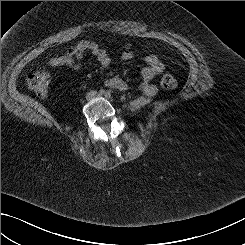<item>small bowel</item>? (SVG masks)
<instances>
[{
	"label": "small bowel",
	"instance_id": "c3829d8e",
	"mask_svg": "<svg viewBox=\"0 0 245 245\" xmlns=\"http://www.w3.org/2000/svg\"><path fill=\"white\" fill-rule=\"evenodd\" d=\"M88 52L91 58L103 67L110 66L112 59L108 51L90 40H82L78 44L67 50L66 52L54 55L49 60V65L57 67L67 65L74 70H80L83 66L82 59L84 53ZM132 51H124L120 58L122 61L133 59ZM145 66L140 70V81L137 88L147 97H153L157 94L158 88L153 83L155 77L163 73L165 66L155 55H148L144 59ZM106 86L122 92L130 89L129 84L119 76H113L106 80Z\"/></svg>",
	"mask_w": 245,
	"mask_h": 245
}]
</instances>
